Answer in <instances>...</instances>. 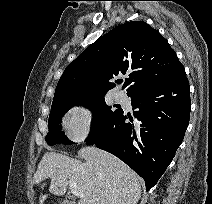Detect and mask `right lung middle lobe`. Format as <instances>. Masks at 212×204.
Wrapping results in <instances>:
<instances>
[{"instance_id": "right-lung-middle-lobe-1", "label": "right lung middle lobe", "mask_w": 212, "mask_h": 204, "mask_svg": "<svg viewBox=\"0 0 212 204\" xmlns=\"http://www.w3.org/2000/svg\"><path fill=\"white\" fill-rule=\"evenodd\" d=\"M85 102V105L93 112V120L91 124V133L89 137L94 136L99 131H101L108 123H110L122 110L121 107L117 106L116 110H111V107H108L104 101V96H99L95 98L88 99ZM77 103H71L67 105H62L56 108L51 109L49 116V132L45 137L48 145L54 144H72L61 131L62 127L60 125L62 116L74 105Z\"/></svg>"}]
</instances>
